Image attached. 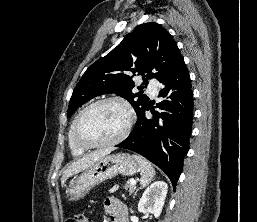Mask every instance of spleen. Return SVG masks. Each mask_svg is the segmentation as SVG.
Instances as JSON below:
<instances>
[{
  "label": "spleen",
  "mask_w": 257,
  "mask_h": 222,
  "mask_svg": "<svg viewBox=\"0 0 257 222\" xmlns=\"http://www.w3.org/2000/svg\"><path fill=\"white\" fill-rule=\"evenodd\" d=\"M133 157L136 159L140 166L141 170V185L145 187L149 184V182L153 179L155 176V169L152 167L151 163H149L147 160L143 159L141 156L133 155Z\"/></svg>",
  "instance_id": "1"
}]
</instances>
